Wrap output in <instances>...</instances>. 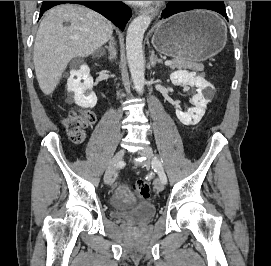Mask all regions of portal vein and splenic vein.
Segmentation results:
<instances>
[{
	"label": "portal vein and splenic vein",
	"instance_id": "portal-vein-and-splenic-vein-1",
	"mask_svg": "<svg viewBox=\"0 0 271 266\" xmlns=\"http://www.w3.org/2000/svg\"><path fill=\"white\" fill-rule=\"evenodd\" d=\"M172 64H173V62L170 61V60L165 61V65H166V66H171Z\"/></svg>",
	"mask_w": 271,
	"mask_h": 266
}]
</instances>
